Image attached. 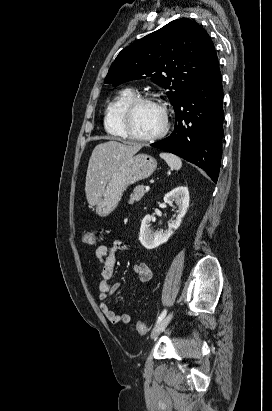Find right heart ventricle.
<instances>
[{
    "label": "right heart ventricle",
    "mask_w": 272,
    "mask_h": 411,
    "mask_svg": "<svg viewBox=\"0 0 272 411\" xmlns=\"http://www.w3.org/2000/svg\"><path fill=\"white\" fill-rule=\"evenodd\" d=\"M133 96L135 92L132 88H124L107 105L104 112V127L108 134L118 138H127L120 117L122 108Z\"/></svg>",
    "instance_id": "right-heart-ventricle-1"
}]
</instances>
